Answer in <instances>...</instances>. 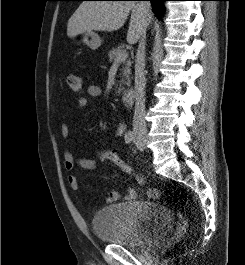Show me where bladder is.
<instances>
[{
    "instance_id": "31cf9c89",
    "label": "bladder",
    "mask_w": 245,
    "mask_h": 265,
    "mask_svg": "<svg viewBox=\"0 0 245 265\" xmlns=\"http://www.w3.org/2000/svg\"><path fill=\"white\" fill-rule=\"evenodd\" d=\"M168 210L146 200L117 202L98 210L91 227L95 235L110 244L140 247L167 233Z\"/></svg>"
}]
</instances>
